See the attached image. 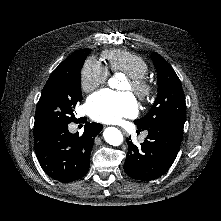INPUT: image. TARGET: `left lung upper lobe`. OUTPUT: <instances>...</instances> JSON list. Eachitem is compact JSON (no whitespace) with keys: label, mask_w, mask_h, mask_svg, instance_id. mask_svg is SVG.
<instances>
[{"label":"left lung upper lobe","mask_w":221,"mask_h":221,"mask_svg":"<svg viewBox=\"0 0 221 221\" xmlns=\"http://www.w3.org/2000/svg\"><path fill=\"white\" fill-rule=\"evenodd\" d=\"M152 60L157 71L158 94L147 115L134 121L142 130L164 121H185L186 118L185 95L178 76L158 53L152 54Z\"/></svg>","instance_id":"1"}]
</instances>
